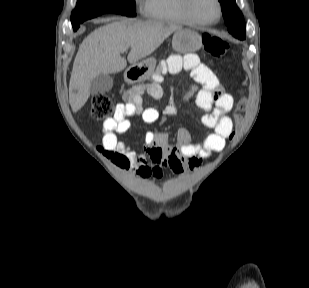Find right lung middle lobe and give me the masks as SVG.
Instances as JSON below:
<instances>
[{"instance_id":"obj_1","label":"right lung middle lobe","mask_w":309,"mask_h":288,"mask_svg":"<svg viewBox=\"0 0 309 288\" xmlns=\"http://www.w3.org/2000/svg\"><path fill=\"white\" fill-rule=\"evenodd\" d=\"M135 0H78L76 9L72 12L71 22L73 30L85 20L103 13L113 12L129 17L136 16Z\"/></svg>"}]
</instances>
